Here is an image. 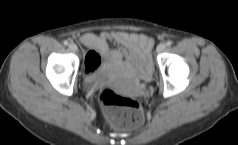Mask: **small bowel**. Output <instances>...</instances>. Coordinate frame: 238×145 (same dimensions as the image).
<instances>
[{"instance_id":"obj_1","label":"small bowel","mask_w":238,"mask_h":145,"mask_svg":"<svg viewBox=\"0 0 238 145\" xmlns=\"http://www.w3.org/2000/svg\"><path fill=\"white\" fill-rule=\"evenodd\" d=\"M79 40L82 44L95 49L107 61L126 60L136 66L142 78H150L153 42L148 36L140 33L111 31L99 35L86 33L81 35ZM111 44L115 45V48H112Z\"/></svg>"}]
</instances>
